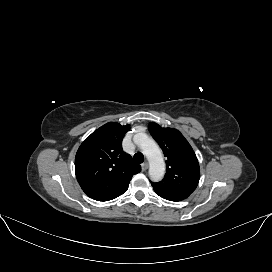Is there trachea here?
<instances>
[{
  "mask_svg": "<svg viewBox=\"0 0 272 272\" xmlns=\"http://www.w3.org/2000/svg\"><path fill=\"white\" fill-rule=\"evenodd\" d=\"M134 161H135L136 163H138V164L143 163V161H144V156H143V154L140 153V152L135 153V154H134Z\"/></svg>",
  "mask_w": 272,
  "mask_h": 272,
  "instance_id": "3493384b",
  "label": "trachea"
}]
</instances>
